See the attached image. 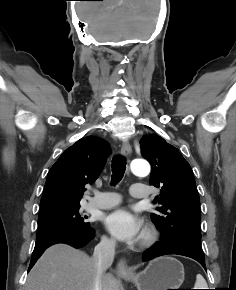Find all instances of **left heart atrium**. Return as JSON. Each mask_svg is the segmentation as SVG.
Masks as SVG:
<instances>
[{"mask_svg":"<svg viewBox=\"0 0 236 290\" xmlns=\"http://www.w3.org/2000/svg\"><path fill=\"white\" fill-rule=\"evenodd\" d=\"M104 224L106 229L120 241L133 242L140 234L138 219L125 208H118L109 213Z\"/></svg>","mask_w":236,"mask_h":290,"instance_id":"obj_1","label":"left heart atrium"}]
</instances>
